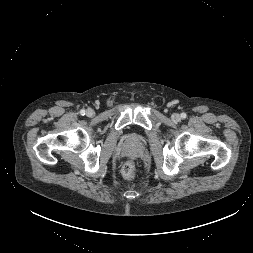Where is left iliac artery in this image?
I'll return each instance as SVG.
<instances>
[{"label": "left iliac artery", "instance_id": "obj_1", "mask_svg": "<svg viewBox=\"0 0 253 253\" xmlns=\"http://www.w3.org/2000/svg\"><path fill=\"white\" fill-rule=\"evenodd\" d=\"M181 117L184 119L186 118V113H181Z\"/></svg>", "mask_w": 253, "mask_h": 253}]
</instances>
